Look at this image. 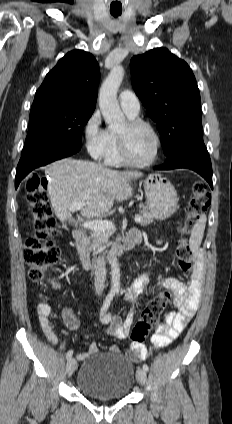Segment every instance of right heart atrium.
<instances>
[{
	"instance_id": "d8ad5b80",
	"label": "right heart atrium",
	"mask_w": 232,
	"mask_h": 424,
	"mask_svg": "<svg viewBox=\"0 0 232 424\" xmlns=\"http://www.w3.org/2000/svg\"><path fill=\"white\" fill-rule=\"evenodd\" d=\"M83 138L90 156L94 159L103 158L109 147L108 130L102 127L98 111L93 112L83 127Z\"/></svg>"
}]
</instances>
